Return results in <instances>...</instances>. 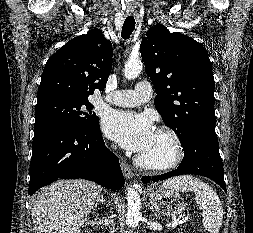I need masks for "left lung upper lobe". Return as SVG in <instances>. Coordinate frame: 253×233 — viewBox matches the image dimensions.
<instances>
[{
  "instance_id": "left-lung-upper-lobe-1",
  "label": "left lung upper lobe",
  "mask_w": 253,
  "mask_h": 233,
  "mask_svg": "<svg viewBox=\"0 0 253 233\" xmlns=\"http://www.w3.org/2000/svg\"><path fill=\"white\" fill-rule=\"evenodd\" d=\"M140 51L156 87L155 107L180 142L199 126L215 128V83L202 44L158 24L146 32Z\"/></svg>"
}]
</instances>
